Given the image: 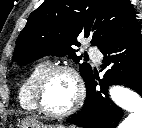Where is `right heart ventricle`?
<instances>
[{"label":"right heart ventricle","mask_w":142,"mask_h":128,"mask_svg":"<svg viewBox=\"0 0 142 128\" xmlns=\"http://www.w3.org/2000/svg\"><path fill=\"white\" fill-rule=\"evenodd\" d=\"M50 62L43 60L36 63L22 80L18 90V100L20 106L27 111H37L35 103V87L43 72L49 68Z\"/></svg>","instance_id":"right-heart-ventricle-1"}]
</instances>
